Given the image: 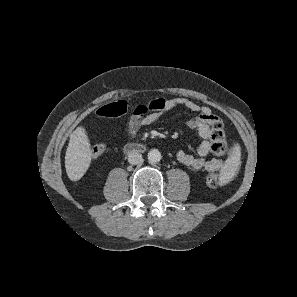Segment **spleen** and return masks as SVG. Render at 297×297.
I'll use <instances>...</instances> for the list:
<instances>
[{
    "instance_id": "1",
    "label": "spleen",
    "mask_w": 297,
    "mask_h": 297,
    "mask_svg": "<svg viewBox=\"0 0 297 297\" xmlns=\"http://www.w3.org/2000/svg\"><path fill=\"white\" fill-rule=\"evenodd\" d=\"M240 146L235 144L230 157L227 159L223 173H222V180L227 181L228 178L232 175V173L237 169L240 165Z\"/></svg>"
}]
</instances>
